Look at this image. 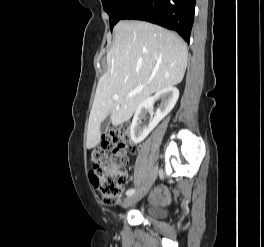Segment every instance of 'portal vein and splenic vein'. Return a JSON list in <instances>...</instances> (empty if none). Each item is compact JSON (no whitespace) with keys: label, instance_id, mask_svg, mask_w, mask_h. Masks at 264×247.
<instances>
[{"label":"portal vein and splenic vein","instance_id":"18ae733b","mask_svg":"<svg viewBox=\"0 0 264 247\" xmlns=\"http://www.w3.org/2000/svg\"><path fill=\"white\" fill-rule=\"evenodd\" d=\"M138 92L139 91L131 92L126 97L131 98V97L135 96ZM112 98H113V100H118L119 99V95L118 94H114Z\"/></svg>","mask_w":264,"mask_h":247}]
</instances>
